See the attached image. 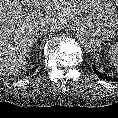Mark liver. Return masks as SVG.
<instances>
[{
    "instance_id": "1",
    "label": "liver",
    "mask_w": 118,
    "mask_h": 118,
    "mask_svg": "<svg viewBox=\"0 0 118 118\" xmlns=\"http://www.w3.org/2000/svg\"><path fill=\"white\" fill-rule=\"evenodd\" d=\"M100 0H0V74L17 75L26 69L31 46L38 34V23L50 18L61 26L77 14H90ZM29 8H42L44 13H25Z\"/></svg>"
}]
</instances>
